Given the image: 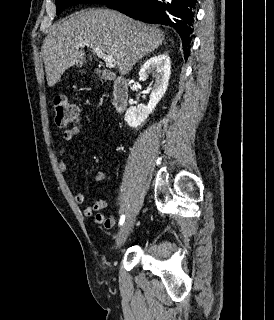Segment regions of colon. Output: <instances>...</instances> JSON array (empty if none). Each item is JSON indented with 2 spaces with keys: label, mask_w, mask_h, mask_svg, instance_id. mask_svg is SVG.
<instances>
[{
  "label": "colon",
  "mask_w": 274,
  "mask_h": 320,
  "mask_svg": "<svg viewBox=\"0 0 274 320\" xmlns=\"http://www.w3.org/2000/svg\"><path fill=\"white\" fill-rule=\"evenodd\" d=\"M52 105L55 111V124L62 131L66 132V127H73V120H80L79 110L67 100L65 95H57L53 99Z\"/></svg>",
  "instance_id": "obj_1"
}]
</instances>
